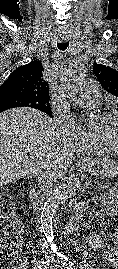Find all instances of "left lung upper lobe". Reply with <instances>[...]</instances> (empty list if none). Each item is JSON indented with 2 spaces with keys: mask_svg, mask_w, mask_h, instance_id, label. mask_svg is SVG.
<instances>
[{
  "mask_svg": "<svg viewBox=\"0 0 118 269\" xmlns=\"http://www.w3.org/2000/svg\"><path fill=\"white\" fill-rule=\"evenodd\" d=\"M93 72L102 87L107 92L118 97V71L105 65L95 64Z\"/></svg>",
  "mask_w": 118,
  "mask_h": 269,
  "instance_id": "obj_1",
  "label": "left lung upper lobe"
}]
</instances>
